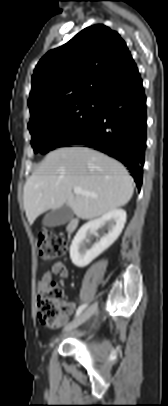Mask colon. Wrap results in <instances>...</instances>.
Returning a JSON list of instances; mask_svg holds the SVG:
<instances>
[{
    "label": "colon",
    "mask_w": 168,
    "mask_h": 406,
    "mask_svg": "<svg viewBox=\"0 0 168 406\" xmlns=\"http://www.w3.org/2000/svg\"><path fill=\"white\" fill-rule=\"evenodd\" d=\"M38 256L43 261H51L63 256L68 250L67 242L58 234L39 231L35 234ZM63 290L55 283L39 292L37 309L40 321L47 326L58 324L61 318L59 300Z\"/></svg>",
    "instance_id": "obj_1"
}]
</instances>
